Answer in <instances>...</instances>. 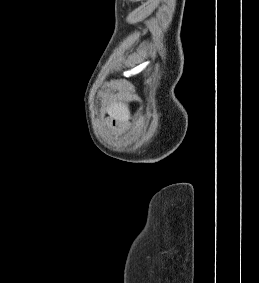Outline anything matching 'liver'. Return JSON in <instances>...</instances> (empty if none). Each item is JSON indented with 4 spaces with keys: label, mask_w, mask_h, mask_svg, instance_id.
<instances>
[{
    "label": "liver",
    "mask_w": 259,
    "mask_h": 283,
    "mask_svg": "<svg viewBox=\"0 0 259 283\" xmlns=\"http://www.w3.org/2000/svg\"><path fill=\"white\" fill-rule=\"evenodd\" d=\"M107 113L109 116L120 122H128L130 119V111L126 104L111 102L107 107Z\"/></svg>",
    "instance_id": "obj_1"
}]
</instances>
